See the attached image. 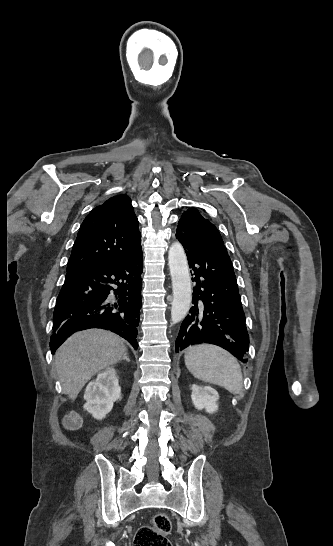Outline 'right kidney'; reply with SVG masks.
Here are the masks:
<instances>
[{
  "instance_id": "obj_1",
  "label": "right kidney",
  "mask_w": 333,
  "mask_h": 546,
  "mask_svg": "<svg viewBox=\"0 0 333 546\" xmlns=\"http://www.w3.org/2000/svg\"><path fill=\"white\" fill-rule=\"evenodd\" d=\"M121 388L114 368H107L98 374L96 380L91 381L84 394L86 403L84 409L95 419L104 418L113 407V403L120 399Z\"/></svg>"
}]
</instances>
